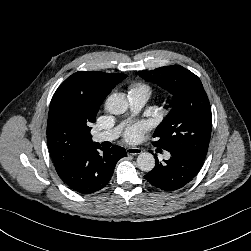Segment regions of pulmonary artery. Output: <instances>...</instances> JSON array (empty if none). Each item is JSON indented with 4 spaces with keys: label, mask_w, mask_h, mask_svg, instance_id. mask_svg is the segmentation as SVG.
<instances>
[{
    "label": "pulmonary artery",
    "mask_w": 251,
    "mask_h": 251,
    "mask_svg": "<svg viewBox=\"0 0 251 251\" xmlns=\"http://www.w3.org/2000/svg\"><path fill=\"white\" fill-rule=\"evenodd\" d=\"M130 107L133 111L140 110L148 101L149 94L146 91H130L128 94ZM119 135V129L114 128L112 130L99 132L94 135L93 139L96 142L112 141ZM166 158L170 157L169 153L165 154Z\"/></svg>",
    "instance_id": "1"
}]
</instances>
